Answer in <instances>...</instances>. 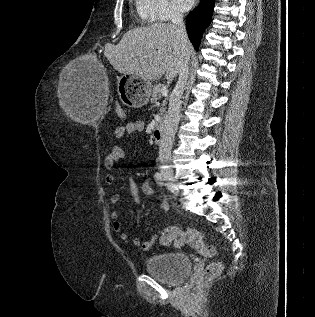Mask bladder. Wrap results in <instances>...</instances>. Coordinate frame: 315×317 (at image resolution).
<instances>
[{"instance_id": "1", "label": "bladder", "mask_w": 315, "mask_h": 317, "mask_svg": "<svg viewBox=\"0 0 315 317\" xmlns=\"http://www.w3.org/2000/svg\"><path fill=\"white\" fill-rule=\"evenodd\" d=\"M145 269L151 276L170 284L182 282L191 271V262L182 253H162L146 259Z\"/></svg>"}]
</instances>
